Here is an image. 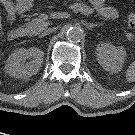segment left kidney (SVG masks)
<instances>
[{"mask_svg": "<svg viewBox=\"0 0 135 135\" xmlns=\"http://www.w3.org/2000/svg\"><path fill=\"white\" fill-rule=\"evenodd\" d=\"M99 64L110 73H118L123 66L126 51L122 46L115 47L110 43H100L96 48Z\"/></svg>", "mask_w": 135, "mask_h": 135, "instance_id": "1", "label": "left kidney"}]
</instances>
